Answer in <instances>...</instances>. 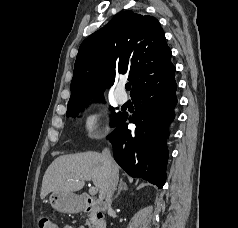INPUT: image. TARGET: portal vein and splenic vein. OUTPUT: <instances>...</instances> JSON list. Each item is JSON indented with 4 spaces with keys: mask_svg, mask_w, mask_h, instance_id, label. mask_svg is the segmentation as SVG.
<instances>
[{
    "mask_svg": "<svg viewBox=\"0 0 238 228\" xmlns=\"http://www.w3.org/2000/svg\"><path fill=\"white\" fill-rule=\"evenodd\" d=\"M83 180H86V181H89L90 180V178L89 177H84V178H82ZM97 192H98V190H97V188L96 187H90V189H89V193H90V195H96L97 194Z\"/></svg>",
    "mask_w": 238,
    "mask_h": 228,
    "instance_id": "obj_1",
    "label": "portal vein and splenic vein"
}]
</instances>
